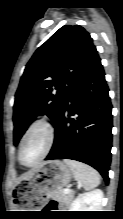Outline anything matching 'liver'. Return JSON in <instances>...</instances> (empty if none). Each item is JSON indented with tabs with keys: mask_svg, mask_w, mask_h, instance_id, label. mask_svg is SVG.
Returning a JSON list of instances; mask_svg holds the SVG:
<instances>
[{
	"mask_svg": "<svg viewBox=\"0 0 123 219\" xmlns=\"http://www.w3.org/2000/svg\"><path fill=\"white\" fill-rule=\"evenodd\" d=\"M33 171H34V170H31L30 172H28L22 179L24 180V179L30 177L31 174L33 173Z\"/></svg>",
	"mask_w": 123,
	"mask_h": 219,
	"instance_id": "1",
	"label": "liver"
}]
</instances>
